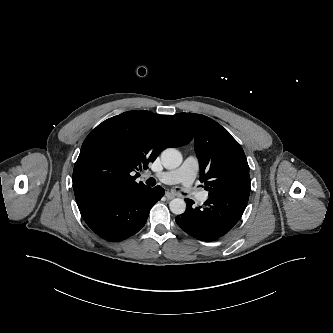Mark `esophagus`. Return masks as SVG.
Returning <instances> with one entry per match:
<instances>
[{
  "label": "esophagus",
  "mask_w": 333,
  "mask_h": 333,
  "mask_svg": "<svg viewBox=\"0 0 333 333\" xmlns=\"http://www.w3.org/2000/svg\"><path fill=\"white\" fill-rule=\"evenodd\" d=\"M176 195H177L176 193L170 192V191H167L165 193L166 198L169 199V200L172 199V198H174Z\"/></svg>",
  "instance_id": "obj_1"
}]
</instances>
